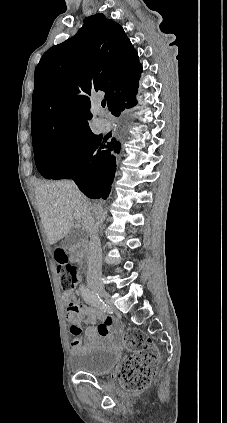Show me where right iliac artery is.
Segmentation results:
<instances>
[{
  "label": "right iliac artery",
  "mask_w": 227,
  "mask_h": 423,
  "mask_svg": "<svg viewBox=\"0 0 227 423\" xmlns=\"http://www.w3.org/2000/svg\"><path fill=\"white\" fill-rule=\"evenodd\" d=\"M81 290L82 296L87 303L107 311V305L103 302L98 293L90 291L87 287L84 286L81 288Z\"/></svg>",
  "instance_id": "obj_1"
}]
</instances>
